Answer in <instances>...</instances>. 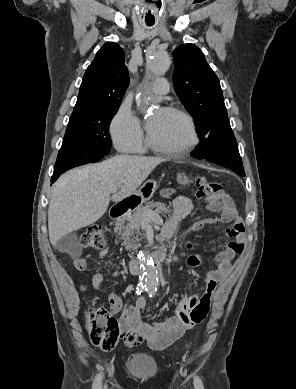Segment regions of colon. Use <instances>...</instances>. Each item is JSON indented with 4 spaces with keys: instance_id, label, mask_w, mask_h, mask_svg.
<instances>
[{
    "instance_id": "1",
    "label": "colon",
    "mask_w": 296,
    "mask_h": 389,
    "mask_svg": "<svg viewBox=\"0 0 296 389\" xmlns=\"http://www.w3.org/2000/svg\"><path fill=\"white\" fill-rule=\"evenodd\" d=\"M179 182L186 185L191 182V179L186 174H181ZM195 184L197 186L196 197L206 200L208 206L221 204L224 201L225 196L218 183L198 177L195 179ZM79 241L81 246L87 248L102 249L106 245L103 229L98 225L89 226L81 233ZM207 313L206 311H195L191 315V320L199 323L205 319ZM86 327L92 344L105 351L112 350L121 337L119 322L104 307H96L87 313Z\"/></svg>"
}]
</instances>
